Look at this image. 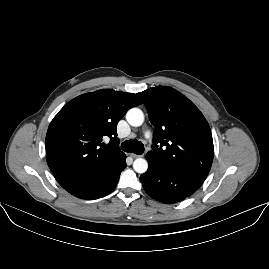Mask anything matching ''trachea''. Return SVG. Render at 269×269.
<instances>
[{
    "label": "trachea",
    "mask_w": 269,
    "mask_h": 269,
    "mask_svg": "<svg viewBox=\"0 0 269 269\" xmlns=\"http://www.w3.org/2000/svg\"><path fill=\"white\" fill-rule=\"evenodd\" d=\"M121 149L124 150L125 152L141 155L144 152V145L143 143L137 141L136 139L127 140L121 144Z\"/></svg>",
    "instance_id": "1"
}]
</instances>
